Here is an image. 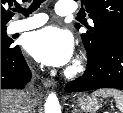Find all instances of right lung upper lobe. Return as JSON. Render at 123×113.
Returning a JSON list of instances; mask_svg holds the SVG:
<instances>
[{
    "instance_id": "obj_1",
    "label": "right lung upper lobe",
    "mask_w": 123,
    "mask_h": 113,
    "mask_svg": "<svg viewBox=\"0 0 123 113\" xmlns=\"http://www.w3.org/2000/svg\"><path fill=\"white\" fill-rule=\"evenodd\" d=\"M14 3L15 0H1V26H6L13 17L11 9Z\"/></svg>"
}]
</instances>
